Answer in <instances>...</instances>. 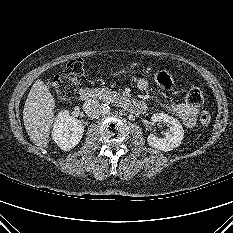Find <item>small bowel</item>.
Returning <instances> with one entry per match:
<instances>
[{
  "label": "small bowel",
  "mask_w": 233,
  "mask_h": 233,
  "mask_svg": "<svg viewBox=\"0 0 233 233\" xmlns=\"http://www.w3.org/2000/svg\"><path fill=\"white\" fill-rule=\"evenodd\" d=\"M157 83L163 88H170L172 86V79L170 75L164 71L158 72L156 75ZM137 86L140 90L145 91L148 89V81L141 78L137 82ZM143 109L145 105L142 104ZM171 111L181 119L186 127H193L196 123V117L198 114V109L188 105L186 102H180L173 104L171 106Z\"/></svg>",
  "instance_id": "small-bowel-1"
}]
</instances>
